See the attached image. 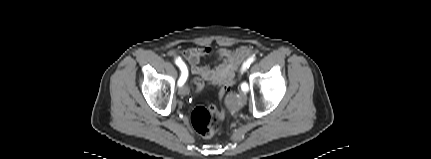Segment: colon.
<instances>
[{
    "instance_id": "colon-1",
    "label": "colon",
    "mask_w": 431,
    "mask_h": 159,
    "mask_svg": "<svg viewBox=\"0 0 431 159\" xmlns=\"http://www.w3.org/2000/svg\"><path fill=\"white\" fill-rule=\"evenodd\" d=\"M240 79L241 76L237 75V78H232L231 81L226 82L220 90V97H224L229 86L237 83ZM189 81L196 86L195 90L198 93L204 88V81L199 77H192ZM224 103V101H221L220 105L222 106ZM206 105L208 106H198L193 110L191 114V125L195 132L201 137L210 138L220 130L221 123L223 124L225 122L226 116L223 114L226 112V108L222 107V112H218L214 104L209 105V102H206Z\"/></svg>"
}]
</instances>
